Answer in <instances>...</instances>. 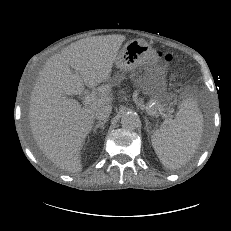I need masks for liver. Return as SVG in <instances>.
<instances>
[{"instance_id": "1", "label": "liver", "mask_w": 231, "mask_h": 231, "mask_svg": "<svg viewBox=\"0 0 231 231\" xmlns=\"http://www.w3.org/2000/svg\"><path fill=\"white\" fill-rule=\"evenodd\" d=\"M125 39L118 34L81 39L53 55L38 76L30 97V127L39 149L60 169L82 170L81 150L95 112L113 102L111 85L100 86L96 101L83 107L68 96L81 94L84 85L109 81Z\"/></svg>"}]
</instances>
